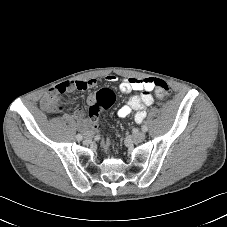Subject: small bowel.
Segmentation results:
<instances>
[{
  "mask_svg": "<svg viewBox=\"0 0 227 227\" xmlns=\"http://www.w3.org/2000/svg\"><path fill=\"white\" fill-rule=\"evenodd\" d=\"M108 83H116L118 77L113 74H109L105 77ZM81 84L83 87L80 90L93 88L97 84L96 79H88L85 81H67L58 84L48 94H46L42 100V106L50 111L55 112L62 109V105L57 101V97L67 91L73 89H79L77 86ZM119 89L122 93L130 95L126 104L120 107L117 111L119 118H125L134 113V120L136 123H141L146 117V109L154 102V98L161 99L163 93L160 92L154 84L153 78H125L119 84ZM154 90V95L152 91ZM135 91L141 92L139 95L132 94ZM94 99V95H90L87 99L88 103H91ZM72 116L77 120L79 127L86 131L89 128V122L83 118L81 109H75ZM104 146L107 147L108 143L105 142Z\"/></svg>",
  "mask_w": 227,
  "mask_h": 227,
  "instance_id": "small-bowel-1",
  "label": "small bowel"
}]
</instances>
